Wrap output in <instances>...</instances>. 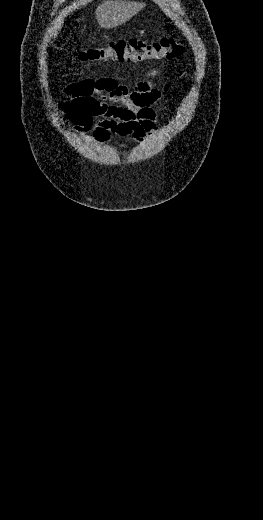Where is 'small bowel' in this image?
<instances>
[{"label":"small bowel","instance_id":"obj_1","mask_svg":"<svg viewBox=\"0 0 263 520\" xmlns=\"http://www.w3.org/2000/svg\"><path fill=\"white\" fill-rule=\"evenodd\" d=\"M159 72L150 70L132 89L113 78H88L68 85L69 99L59 104L65 115L62 122L73 124L76 132H91L100 143L109 142L112 135L143 141L159 121L154 105L162 92L151 81Z\"/></svg>","mask_w":263,"mask_h":520}]
</instances>
